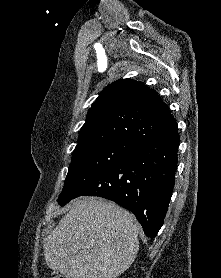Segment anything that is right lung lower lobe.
<instances>
[{"mask_svg":"<svg viewBox=\"0 0 221 278\" xmlns=\"http://www.w3.org/2000/svg\"><path fill=\"white\" fill-rule=\"evenodd\" d=\"M179 141L176 129L132 144L121 161L82 188L77 197L99 196L116 202L133 212L148 237H155L173 192Z\"/></svg>","mask_w":221,"mask_h":278,"instance_id":"1","label":"right lung lower lobe"}]
</instances>
